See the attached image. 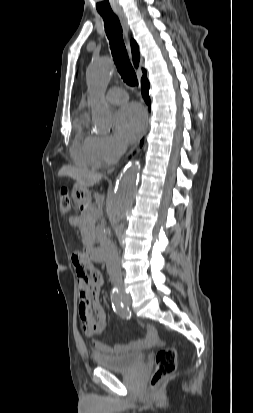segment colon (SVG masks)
<instances>
[{
  "mask_svg": "<svg viewBox=\"0 0 253 413\" xmlns=\"http://www.w3.org/2000/svg\"><path fill=\"white\" fill-rule=\"evenodd\" d=\"M59 207L62 214L71 211V199L68 191L63 190L59 197ZM177 350L174 347L160 349L155 358V371L150 381L151 389H155L162 380L171 376L176 370Z\"/></svg>",
  "mask_w": 253,
  "mask_h": 413,
  "instance_id": "obj_1",
  "label": "colon"
}]
</instances>
